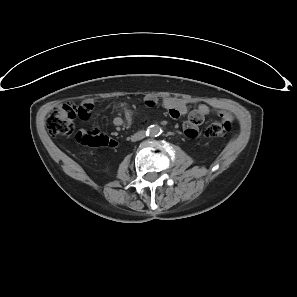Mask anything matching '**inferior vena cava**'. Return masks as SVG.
<instances>
[{
  "mask_svg": "<svg viewBox=\"0 0 297 297\" xmlns=\"http://www.w3.org/2000/svg\"><path fill=\"white\" fill-rule=\"evenodd\" d=\"M144 136H145V132H144V131H140V132H138V133L135 135V137H136L137 139H142V138H144Z\"/></svg>",
  "mask_w": 297,
  "mask_h": 297,
  "instance_id": "1",
  "label": "inferior vena cava"
}]
</instances>
